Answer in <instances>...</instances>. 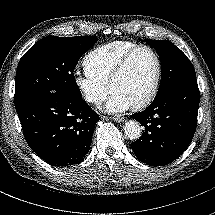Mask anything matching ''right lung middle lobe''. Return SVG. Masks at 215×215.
<instances>
[{"label": "right lung middle lobe", "instance_id": "dd1d6c3e", "mask_svg": "<svg viewBox=\"0 0 215 215\" xmlns=\"http://www.w3.org/2000/svg\"><path fill=\"white\" fill-rule=\"evenodd\" d=\"M97 40L96 36H47L36 42L17 66L15 106L40 95L82 98L73 71Z\"/></svg>", "mask_w": 215, "mask_h": 215}]
</instances>
